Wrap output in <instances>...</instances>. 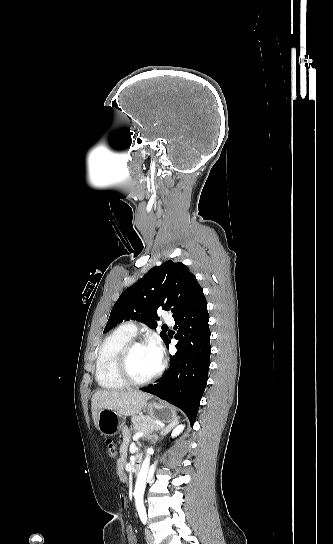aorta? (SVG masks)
I'll return each instance as SVG.
<instances>
[{
	"mask_svg": "<svg viewBox=\"0 0 333 544\" xmlns=\"http://www.w3.org/2000/svg\"><path fill=\"white\" fill-rule=\"evenodd\" d=\"M152 453H153L152 448L147 450V455L145 459L143 460L141 469L137 476L135 489H134V497H135V504L138 509L144 508V502H143L144 491L146 487L147 473H148L149 465H150V455Z\"/></svg>",
	"mask_w": 333,
	"mask_h": 544,
	"instance_id": "762f6f07",
	"label": "aorta"
}]
</instances>
